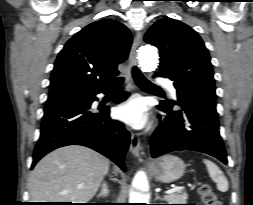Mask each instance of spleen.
I'll list each match as a JSON object with an SVG mask.
<instances>
[{"label": "spleen", "mask_w": 253, "mask_h": 205, "mask_svg": "<svg viewBox=\"0 0 253 205\" xmlns=\"http://www.w3.org/2000/svg\"><path fill=\"white\" fill-rule=\"evenodd\" d=\"M203 162L207 167L209 176L214 182H216L218 190L221 192H226L229 188V184L227 178L220 168L210 160L204 159Z\"/></svg>", "instance_id": "3e777b00"}]
</instances>
